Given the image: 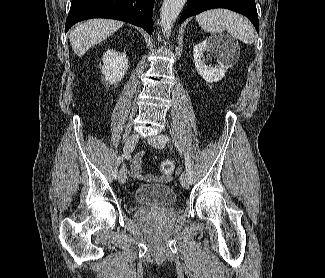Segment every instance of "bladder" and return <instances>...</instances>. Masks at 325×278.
Here are the masks:
<instances>
[{
    "instance_id": "31cf9c89",
    "label": "bladder",
    "mask_w": 325,
    "mask_h": 278,
    "mask_svg": "<svg viewBox=\"0 0 325 278\" xmlns=\"http://www.w3.org/2000/svg\"><path fill=\"white\" fill-rule=\"evenodd\" d=\"M134 198L139 205L150 207H171L177 202V195L172 187L158 183L142 184Z\"/></svg>"
}]
</instances>
